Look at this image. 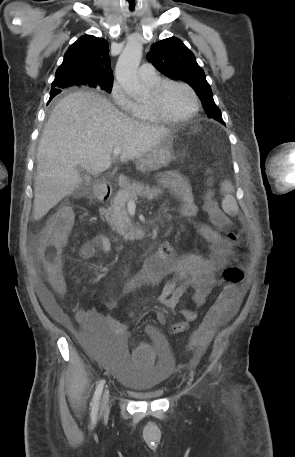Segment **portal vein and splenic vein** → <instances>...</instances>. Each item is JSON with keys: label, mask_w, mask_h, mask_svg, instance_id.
<instances>
[{"label": "portal vein and splenic vein", "mask_w": 295, "mask_h": 457, "mask_svg": "<svg viewBox=\"0 0 295 457\" xmlns=\"http://www.w3.org/2000/svg\"><path fill=\"white\" fill-rule=\"evenodd\" d=\"M121 152H122L121 147H115V148L113 149V156H114V157H117L118 155L121 154ZM129 202H133V200H129Z\"/></svg>", "instance_id": "obj_1"}]
</instances>
